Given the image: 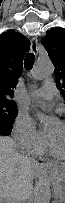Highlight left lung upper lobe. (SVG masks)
Returning <instances> with one entry per match:
<instances>
[{
    "instance_id": "obj_1",
    "label": "left lung upper lobe",
    "mask_w": 65,
    "mask_h": 203,
    "mask_svg": "<svg viewBox=\"0 0 65 203\" xmlns=\"http://www.w3.org/2000/svg\"><path fill=\"white\" fill-rule=\"evenodd\" d=\"M42 44L55 66L57 86L65 89V29H50L42 38ZM60 91L65 99V90L60 89Z\"/></svg>"
}]
</instances>
